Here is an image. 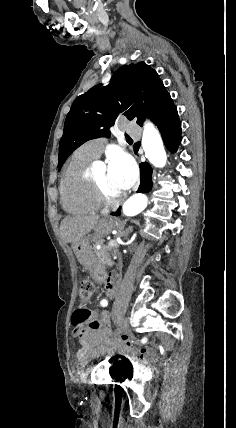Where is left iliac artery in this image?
Returning a JSON list of instances; mask_svg holds the SVG:
<instances>
[{
	"label": "left iliac artery",
	"mask_w": 236,
	"mask_h": 428,
	"mask_svg": "<svg viewBox=\"0 0 236 428\" xmlns=\"http://www.w3.org/2000/svg\"><path fill=\"white\" fill-rule=\"evenodd\" d=\"M101 305L104 307V306H107L108 305V302L106 301V300H102L101 301Z\"/></svg>",
	"instance_id": "left-iliac-artery-1"
}]
</instances>
